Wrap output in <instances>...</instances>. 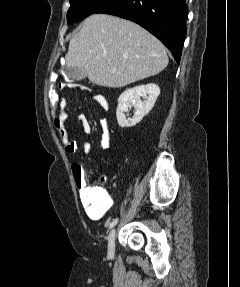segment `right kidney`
<instances>
[{"instance_id":"1","label":"right kidney","mask_w":240,"mask_h":287,"mask_svg":"<svg viewBox=\"0 0 240 287\" xmlns=\"http://www.w3.org/2000/svg\"><path fill=\"white\" fill-rule=\"evenodd\" d=\"M160 88L154 83L136 86L125 90L118 99L116 116L118 125L122 128L133 127L139 123L153 108ZM141 97L144 99L141 100ZM134 107L135 112L132 118L126 117L128 109Z\"/></svg>"}]
</instances>
